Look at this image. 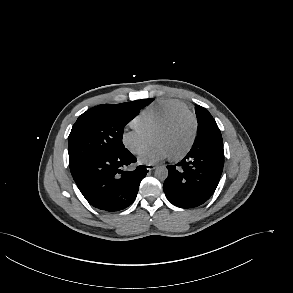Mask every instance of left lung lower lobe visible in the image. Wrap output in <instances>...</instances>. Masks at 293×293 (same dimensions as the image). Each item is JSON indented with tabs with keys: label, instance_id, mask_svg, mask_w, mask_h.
<instances>
[{
	"label": "left lung lower lobe",
	"instance_id": "0a47b994",
	"mask_svg": "<svg viewBox=\"0 0 293 293\" xmlns=\"http://www.w3.org/2000/svg\"><path fill=\"white\" fill-rule=\"evenodd\" d=\"M223 165V143L216 140L195 143L181 162L167 166L169 175L163 186L167 199L181 208L203 204L216 190Z\"/></svg>",
	"mask_w": 293,
	"mask_h": 293
}]
</instances>
